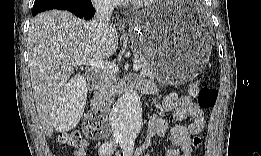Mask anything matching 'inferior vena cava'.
Returning a JSON list of instances; mask_svg holds the SVG:
<instances>
[{
  "label": "inferior vena cava",
  "mask_w": 261,
  "mask_h": 156,
  "mask_svg": "<svg viewBox=\"0 0 261 156\" xmlns=\"http://www.w3.org/2000/svg\"><path fill=\"white\" fill-rule=\"evenodd\" d=\"M95 16L90 23L91 28L96 36H104L109 28L111 13L114 9L111 0H97L93 3Z\"/></svg>",
  "instance_id": "1"
}]
</instances>
